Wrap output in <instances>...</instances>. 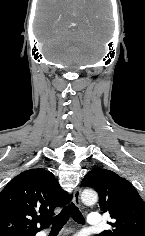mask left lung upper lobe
<instances>
[{
    "label": "left lung upper lobe",
    "mask_w": 145,
    "mask_h": 236,
    "mask_svg": "<svg viewBox=\"0 0 145 236\" xmlns=\"http://www.w3.org/2000/svg\"><path fill=\"white\" fill-rule=\"evenodd\" d=\"M99 193V204L114 219V229L98 236H145V202L129 181L113 171L94 168L82 181Z\"/></svg>",
    "instance_id": "obj_1"
}]
</instances>
